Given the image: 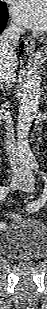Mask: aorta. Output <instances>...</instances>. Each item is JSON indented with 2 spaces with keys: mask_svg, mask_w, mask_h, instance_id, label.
Wrapping results in <instances>:
<instances>
[{
  "mask_svg": "<svg viewBox=\"0 0 47 309\" xmlns=\"http://www.w3.org/2000/svg\"><path fill=\"white\" fill-rule=\"evenodd\" d=\"M42 95L40 63L38 57L31 60L25 72L17 123V150L21 158L32 159L28 134L31 123L38 112Z\"/></svg>",
  "mask_w": 47,
  "mask_h": 309,
  "instance_id": "762f6f07",
  "label": "aorta"
}]
</instances>
